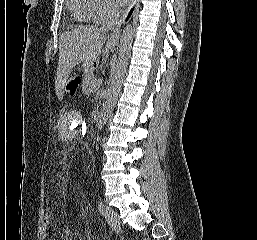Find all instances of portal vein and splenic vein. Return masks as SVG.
I'll use <instances>...</instances> for the list:
<instances>
[{
    "instance_id": "portal-vein-and-splenic-vein-1",
    "label": "portal vein and splenic vein",
    "mask_w": 257,
    "mask_h": 240,
    "mask_svg": "<svg viewBox=\"0 0 257 240\" xmlns=\"http://www.w3.org/2000/svg\"><path fill=\"white\" fill-rule=\"evenodd\" d=\"M101 82H102V80H99V83H101ZM95 88H96V86H94V87L91 89V91L95 90Z\"/></svg>"
}]
</instances>
